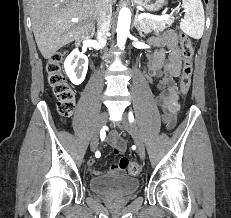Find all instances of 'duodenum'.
<instances>
[{
  "label": "duodenum",
  "mask_w": 231,
  "mask_h": 218,
  "mask_svg": "<svg viewBox=\"0 0 231 218\" xmlns=\"http://www.w3.org/2000/svg\"><path fill=\"white\" fill-rule=\"evenodd\" d=\"M82 41H83V39H80V40L77 41L76 46L78 48H82Z\"/></svg>",
  "instance_id": "duodenum-1"
}]
</instances>
